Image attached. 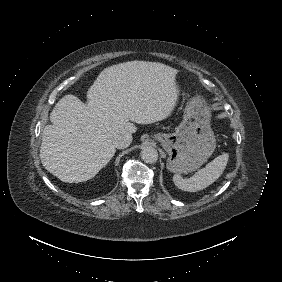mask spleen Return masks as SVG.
I'll return each instance as SVG.
<instances>
[{
	"instance_id": "3e777b00",
	"label": "spleen",
	"mask_w": 282,
	"mask_h": 282,
	"mask_svg": "<svg viewBox=\"0 0 282 282\" xmlns=\"http://www.w3.org/2000/svg\"><path fill=\"white\" fill-rule=\"evenodd\" d=\"M229 159L230 153L224 152L190 178L183 179L182 176L175 174L172 178L173 183L178 189L187 192L204 190L222 176Z\"/></svg>"
}]
</instances>
